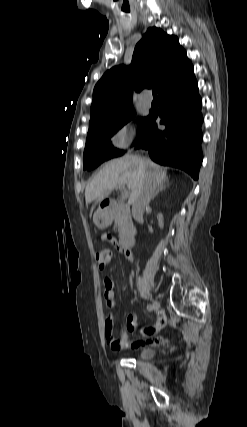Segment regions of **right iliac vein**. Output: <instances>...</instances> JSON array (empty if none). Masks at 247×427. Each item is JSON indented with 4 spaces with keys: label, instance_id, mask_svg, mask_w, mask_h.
I'll list each match as a JSON object with an SVG mask.
<instances>
[{
    "label": "right iliac vein",
    "instance_id": "63e3f726",
    "mask_svg": "<svg viewBox=\"0 0 247 427\" xmlns=\"http://www.w3.org/2000/svg\"><path fill=\"white\" fill-rule=\"evenodd\" d=\"M152 307H153V310L155 311V312H157V311H159V309H160V304H159V302L158 301H153V304H152Z\"/></svg>",
    "mask_w": 247,
    "mask_h": 427
}]
</instances>
